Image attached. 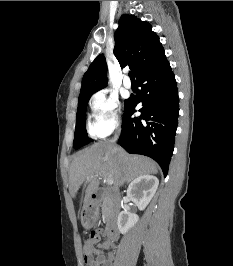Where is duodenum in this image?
<instances>
[{"label": "duodenum", "instance_id": "1", "mask_svg": "<svg viewBox=\"0 0 233 266\" xmlns=\"http://www.w3.org/2000/svg\"><path fill=\"white\" fill-rule=\"evenodd\" d=\"M91 201L97 203L103 201L107 210V223L105 234L110 240H117L120 236L118 228V217L120 204L115 195L110 191L96 190L91 194Z\"/></svg>", "mask_w": 233, "mask_h": 266}]
</instances>
